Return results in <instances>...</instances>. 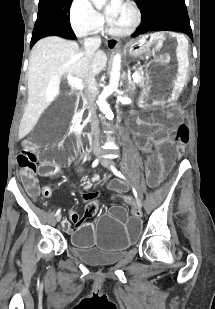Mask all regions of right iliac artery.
I'll list each match as a JSON object with an SVG mask.
<instances>
[{
	"label": "right iliac artery",
	"mask_w": 215,
	"mask_h": 309,
	"mask_svg": "<svg viewBox=\"0 0 215 309\" xmlns=\"http://www.w3.org/2000/svg\"><path fill=\"white\" fill-rule=\"evenodd\" d=\"M97 164H98V159H96V160L93 162L92 167L97 166ZM60 211H61V209H58V210H57L56 216L60 214Z\"/></svg>",
	"instance_id": "obj_1"
}]
</instances>
